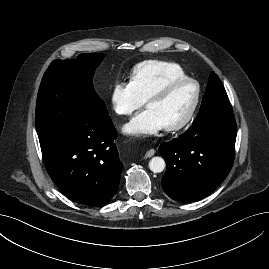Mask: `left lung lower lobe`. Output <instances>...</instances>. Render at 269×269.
<instances>
[{"instance_id": "0a47b994", "label": "left lung lower lobe", "mask_w": 269, "mask_h": 269, "mask_svg": "<svg viewBox=\"0 0 269 269\" xmlns=\"http://www.w3.org/2000/svg\"><path fill=\"white\" fill-rule=\"evenodd\" d=\"M235 141L233 114L193 122L185 133L159 148L167 164L163 190L180 202L208 196L232 168Z\"/></svg>"}]
</instances>
